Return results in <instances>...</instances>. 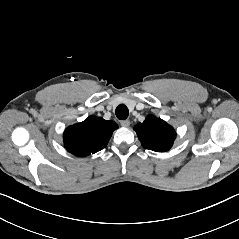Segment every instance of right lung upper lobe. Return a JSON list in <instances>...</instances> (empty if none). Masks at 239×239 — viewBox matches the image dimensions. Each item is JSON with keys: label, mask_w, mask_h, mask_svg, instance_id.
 Here are the masks:
<instances>
[{"label": "right lung upper lobe", "mask_w": 239, "mask_h": 239, "mask_svg": "<svg viewBox=\"0 0 239 239\" xmlns=\"http://www.w3.org/2000/svg\"><path fill=\"white\" fill-rule=\"evenodd\" d=\"M118 125L97 116H89L81 123L69 126L64 132L66 149L80 157L94 154L106 147Z\"/></svg>", "instance_id": "obj_1"}]
</instances>
